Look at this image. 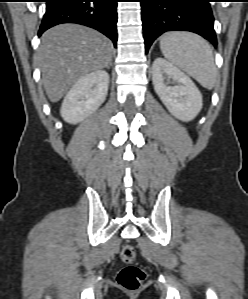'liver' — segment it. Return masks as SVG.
<instances>
[{
	"label": "liver",
	"mask_w": 248,
	"mask_h": 299,
	"mask_svg": "<svg viewBox=\"0 0 248 299\" xmlns=\"http://www.w3.org/2000/svg\"><path fill=\"white\" fill-rule=\"evenodd\" d=\"M112 53L111 41L91 28L62 24L46 31L38 60L49 100L59 101L80 78L108 67Z\"/></svg>",
	"instance_id": "6515ba94"
}]
</instances>
